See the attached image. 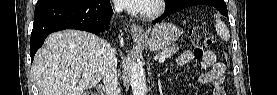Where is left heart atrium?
Instances as JSON below:
<instances>
[{
    "instance_id": "obj_1",
    "label": "left heart atrium",
    "mask_w": 277,
    "mask_h": 95,
    "mask_svg": "<svg viewBox=\"0 0 277 95\" xmlns=\"http://www.w3.org/2000/svg\"><path fill=\"white\" fill-rule=\"evenodd\" d=\"M118 3L129 10L141 11L149 3V0H118Z\"/></svg>"
}]
</instances>
